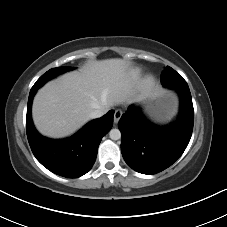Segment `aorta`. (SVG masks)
Segmentation results:
<instances>
[{"instance_id": "1", "label": "aorta", "mask_w": 227, "mask_h": 227, "mask_svg": "<svg viewBox=\"0 0 227 227\" xmlns=\"http://www.w3.org/2000/svg\"><path fill=\"white\" fill-rule=\"evenodd\" d=\"M109 136L112 140H119L121 138V132L119 129H111L109 132Z\"/></svg>"}]
</instances>
